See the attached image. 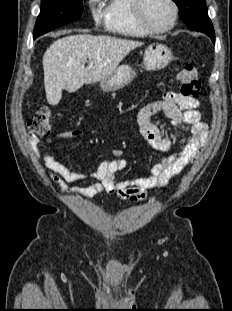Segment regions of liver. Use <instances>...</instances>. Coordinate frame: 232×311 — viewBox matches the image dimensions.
<instances>
[{
    "label": "liver",
    "mask_w": 232,
    "mask_h": 311,
    "mask_svg": "<svg viewBox=\"0 0 232 311\" xmlns=\"http://www.w3.org/2000/svg\"><path fill=\"white\" fill-rule=\"evenodd\" d=\"M143 43L109 36L71 35L53 42L43 55L44 86L50 105L59 103L62 90L73 93L84 84L109 77L133 49ZM97 57L101 60L98 61ZM89 60L85 67L86 60Z\"/></svg>",
    "instance_id": "1"
}]
</instances>
